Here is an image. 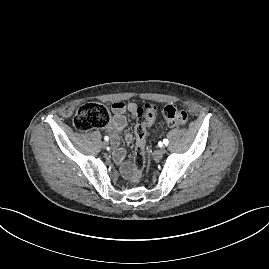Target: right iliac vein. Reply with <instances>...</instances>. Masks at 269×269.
<instances>
[{
  "mask_svg": "<svg viewBox=\"0 0 269 269\" xmlns=\"http://www.w3.org/2000/svg\"><path fill=\"white\" fill-rule=\"evenodd\" d=\"M101 146L103 149H106L108 147V142H102Z\"/></svg>",
  "mask_w": 269,
  "mask_h": 269,
  "instance_id": "63e3f726",
  "label": "right iliac vein"
}]
</instances>
